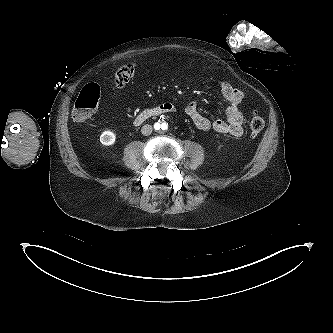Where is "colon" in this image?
I'll return each instance as SVG.
<instances>
[{"mask_svg": "<svg viewBox=\"0 0 333 333\" xmlns=\"http://www.w3.org/2000/svg\"><path fill=\"white\" fill-rule=\"evenodd\" d=\"M136 70L134 63L126 64L120 67L114 76V81L117 87H125L133 77ZM100 101V87L97 84L89 83L80 91L73 109L72 118L79 124H85L93 117ZM265 122L263 118L256 112L250 121V131L252 137H257L263 130Z\"/></svg>", "mask_w": 333, "mask_h": 333, "instance_id": "colon-1", "label": "colon"}]
</instances>
